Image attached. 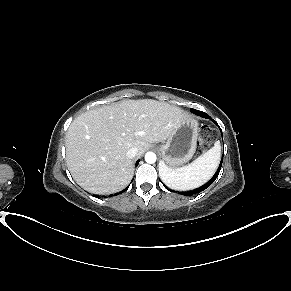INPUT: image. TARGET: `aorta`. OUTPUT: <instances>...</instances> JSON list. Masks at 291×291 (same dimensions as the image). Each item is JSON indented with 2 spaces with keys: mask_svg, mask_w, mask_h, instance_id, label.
I'll use <instances>...</instances> for the list:
<instances>
[{
  "mask_svg": "<svg viewBox=\"0 0 291 291\" xmlns=\"http://www.w3.org/2000/svg\"><path fill=\"white\" fill-rule=\"evenodd\" d=\"M156 159H157V157H156V154L154 152H147L145 154V161L147 163H150V164L155 163Z\"/></svg>",
  "mask_w": 291,
  "mask_h": 291,
  "instance_id": "obj_1",
  "label": "aorta"
}]
</instances>
